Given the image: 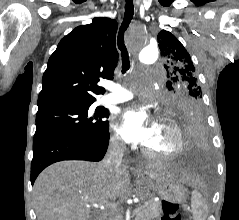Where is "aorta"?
Wrapping results in <instances>:
<instances>
[{
  "label": "aorta",
  "instance_id": "obj_1",
  "mask_svg": "<svg viewBox=\"0 0 239 220\" xmlns=\"http://www.w3.org/2000/svg\"><path fill=\"white\" fill-rule=\"evenodd\" d=\"M136 48H142V53H138L139 60L143 64H151L158 57V48L152 45H136Z\"/></svg>",
  "mask_w": 239,
  "mask_h": 220
}]
</instances>
